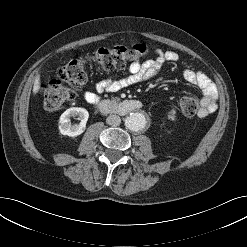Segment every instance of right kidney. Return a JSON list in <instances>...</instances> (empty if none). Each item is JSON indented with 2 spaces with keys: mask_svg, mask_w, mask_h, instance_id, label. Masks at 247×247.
Returning <instances> with one entry per match:
<instances>
[{
  "mask_svg": "<svg viewBox=\"0 0 247 247\" xmlns=\"http://www.w3.org/2000/svg\"><path fill=\"white\" fill-rule=\"evenodd\" d=\"M78 116L79 124L71 125L70 117ZM89 113L86 109L80 107H72L67 109L59 118V130L63 135L71 137L82 134L86 128Z\"/></svg>",
  "mask_w": 247,
  "mask_h": 247,
  "instance_id": "1",
  "label": "right kidney"
}]
</instances>
